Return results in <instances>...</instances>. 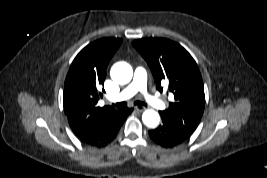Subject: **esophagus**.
<instances>
[{
    "instance_id": "obj_1",
    "label": "esophagus",
    "mask_w": 267,
    "mask_h": 178,
    "mask_svg": "<svg viewBox=\"0 0 267 178\" xmlns=\"http://www.w3.org/2000/svg\"><path fill=\"white\" fill-rule=\"evenodd\" d=\"M135 110H137V111H139V112H142V111L146 110V108L143 107V106H136V107H135Z\"/></svg>"
}]
</instances>
